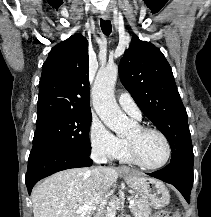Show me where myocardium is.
I'll return each instance as SVG.
<instances>
[{
	"label": "myocardium",
	"instance_id": "f54148a6",
	"mask_svg": "<svg viewBox=\"0 0 211 217\" xmlns=\"http://www.w3.org/2000/svg\"><path fill=\"white\" fill-rule=\"evenodd\" d=\"M138 129L141 133L153 132L158 134L163 139L166 145V157L164 161L158 165H148L145 162H143V160L140 158L135 145L127 139V149L131 161L136 165L148 170H158L165 167L168 164L172 154L171 144L167 136L161 130L150 126H139Z\"/></svg>",
	"mask_w": 211,
	"mask_h": 217
}]
</instances>
